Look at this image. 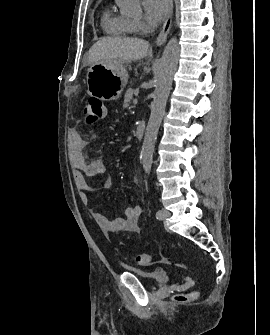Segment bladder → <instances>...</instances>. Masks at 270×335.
<instances>
[{"instance_id": "31cf9c89", "label": "bladder", "mask_w": 270, "mask_h": 335, "mask_svg": "<svg viewBox=\"0 0 270 335\" xmlns=\"http://www.w3.org/2000/svg\"><path fill=\"white\" fill-rule=\"evenodd\" d=\"M131 272L140 279H146L152 286L162 285L169 278V271L166 268H155L150 272L140 270H131Z\"/></svg>"}]
</instances>
